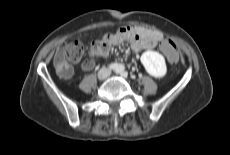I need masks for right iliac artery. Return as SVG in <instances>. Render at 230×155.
Masks as SVG:
<instances>
[{
	"mask_svg": "<svg viewBox=\"0 0 230 155\" xmlns=\"http://www.w3.org/2000/svg\"><path fill=\"white\" fill-rule=\"evenodd\" d=\"M118 67L119 66L117 64H114V63H112V64L109 65V68L113 69V70H116Z\"/></svg>",
	"mask_w": 230,
	"mask_h": 155,
	"instance_id": "1",
	"label": "right iliac artery"
}]
</instances>
